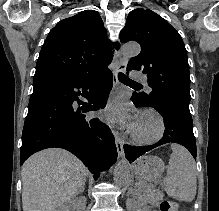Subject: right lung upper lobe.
Returning a JSON list of instances; mask_svg holds the SVG:
<instances>
[{
    "mask_svg": "<svg viewBox=\"0 0 219 211\" xmlns=\"http://www.w3.org/2000/svg\"><path fill=\"white\" fill-rule=\"evenodd\" d=\"M113 46L118 49L119 44ZM113 59L100 14L85 10L60 21L48 34L36 65L34 79L88 77Z\"/></svg>",
    "mask_w": 219,
    "mask_h": 211,
    "instance_id": "right-lung-upper-lobe-1",
    "label": "right lung upper lobe"
}]
</instances>
